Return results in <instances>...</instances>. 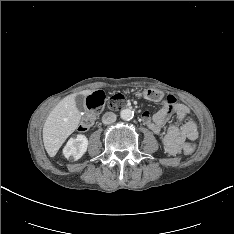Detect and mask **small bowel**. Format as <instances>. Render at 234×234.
I'll list each match as a JSON object with an SVG mask.
<instances>
[{"label":"small bowel","instance_id":"obj_1","mask_svg":"<svg viewBox=\"0 0 234 234\" xmlns=\"http://www.w3.org/2000/svg\"><path fill=\"white\" fill-rule=\"evenodd\" d=\"M172 113L176 114L177 121L182 125L179 126L176 123L168 125L162 142L167 153L176 155L184 150L185 145L189 144L186 140L194 141L198 137L197 124L191 120L185 121L190 113L189 108L178 103L174 96L169 95L162 101V108L153 116L149 111L143 112L142 121L151 131L160 134Z\"/></svg>","mask_w":234,"mask_h":234}]
</instances>
